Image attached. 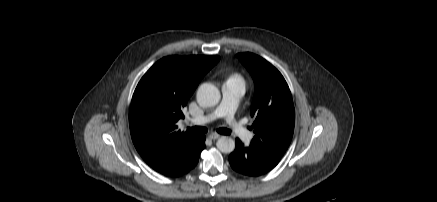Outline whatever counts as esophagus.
<instances>
[{
	"mask_svg": "<svg viewBox=\"0 0 437 202\" xmlns=\"http://www.w3.org/2000/svg\"><path fill=\"white\" fill-rule=\"evenodd\" d=\"M221 137V135H219V134H217V133H211L210 135H209V138L211 139V140H216V139H219Z\"/></svg>",
	"mask_w": 437,
	"mask_h": 202,
	"instance_id": "esophagus-1",
	"label": "esophagus"
}]
</instances>
